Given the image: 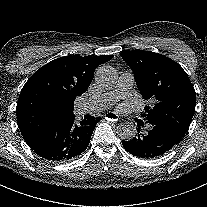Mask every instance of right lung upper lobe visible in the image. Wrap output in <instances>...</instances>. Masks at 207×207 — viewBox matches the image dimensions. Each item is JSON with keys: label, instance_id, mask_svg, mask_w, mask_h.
I'll return each instance as SVG.
<instances>
[{"label": "right lung upper lobe", "instance_id": "cb5924a9", "mask_svg": "<svg viewBox=\"0 0 207 207\" xmlns=\"http://www.w3.org/2000/svg\"><path fill=\"white\" fill-rule=\"evenodd\" d=\"M112 57H61L37 70L23 86L16 108L25 141L73 117L76 97L87 91L95 69Z\"/></svg>", "mask_w": 207, "mask_h": 207}]
</instances>
